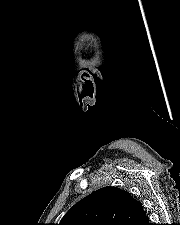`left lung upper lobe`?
<instances>
[{
  "label": "left lung upper lobe",
  "instance_id": "left-lung-upper-lobe-1",
  "mask_svg": "<svg viewBox=\"0 0 180 225\" xmlns=\"http://www.w3.org/2000/svg\"><path fill=\"white\" fill-rule=\"evenodd\" d=\"M143 213L128 192L105 187L77 202L59 225H130Z\"/></svg>",
  "mask_w": 180,
  "mask_h": 225
}]
</instances>
